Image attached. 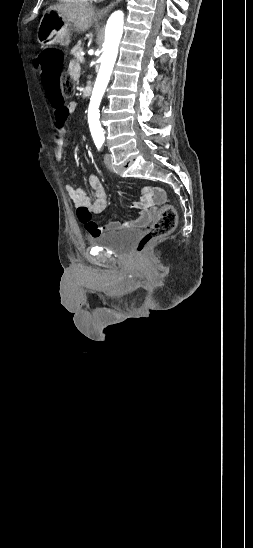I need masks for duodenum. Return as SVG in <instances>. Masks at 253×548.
I'll return each instance as SVG.
<instances>
[{
	"instance_id": "1",
	"label": "duodenum",
	"mask_w": 253,
	"mask_h": 548,
	"mask_svg": "<svg viewBox=\"0 0 253 548\" xmlns=\"http://www.w3.org/2000/svg\"><path fill=\"white\" fill-rule=\"evenodd\" d=\"M91 92H92V87H91V85H89V84L86 85V86L84 87V89H83V94H84L86 97H88V96L91 95Z\"/></svg>"
}]
</instances>
